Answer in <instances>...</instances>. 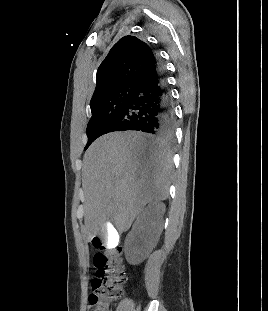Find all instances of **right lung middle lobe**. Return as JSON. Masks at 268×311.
Returning <instances> with one entry per match:
<instances>
[{
  "label": "right lung middle lobe",
  "instance_id": "right-lung-middle-lobe-1",
  "mask_svg": "<svg viewBox=\"0 0 268 311\" xmlns=\"http://www.w3.org/2000/svg\"><path fill=\"white\" fill-rule=\"evenodd\" d=\"M134 90L135 85L125 86L90 103L92 117L86 129L88 142L84 150L98 137L106 134L109 125L122 112Z\"/></svg>",
  "mask_w": 268,
  "mask_h": 311
}]
</instances>
